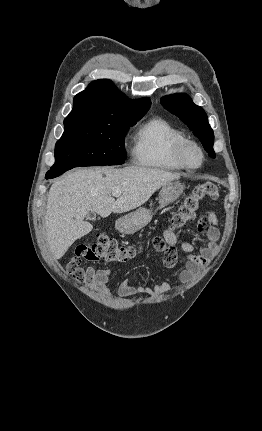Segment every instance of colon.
I'll use <instances>...</instances> for the list:
<instances>
[{
	"instance_id": "obj_1",
	"label": "colon",
	"mask_w": 262,
	"mask_h": 431,
	"mask_svg": "<svg viewBox=\"0 0 262 431\" xmlns=\"http://www.w3.org/2000/svg\"><path fill=\"white\" fill-rule=\"evenodd\" d=\"M218 195L219 190L215 184H197L174 213L169 224V230L186 226L193 221L196 212L206 198L216 199ZM149 243L159 251L169 249V245L161 234L153 236ZM135 252L136 250L133 246L122 245L111 238L99 236L95 240L83 243L75 249L68 260L66 270L69 274L82 275L85 271L84 267L80 265L82 259L117 263L128 260Z\"/></svg>"
}]
</instances>
